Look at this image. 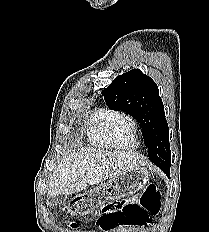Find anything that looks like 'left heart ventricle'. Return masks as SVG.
<instances>
[{"mask_svg": "<svg viewBox=\"0 0 209 232\" xmlns=\"http://www.w3.org/2000/svg\"><path fill=\"white\" fill-rule=\"evenodd\" d=\"M118 141L124 146L131 147L133 144V126L127 120L117 122L113 128Z\"/></svg>", "mask_w": 209, "mask_h": 232, "instance_id": "left-heart-ventricle-1", "label": "left heart ventricle"}]
</instances>
